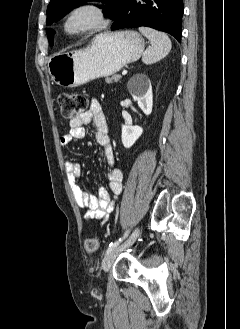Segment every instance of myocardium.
Here are the masks:
<instances>
[{"instance_id": "1", "label": "myocardium", "mask_w": 240, "mask_h": 329, "mask_svg": "<svg viewBox=\"0 0 240 329\" xmlns=\"http://www.w3.org/2000/svg\"><path fill=\"white\" fill-rule=\"evenodd\" d=\"M81 11H90L94 15L93 22L78 28H71L72 19ZM109 23V16L103 4L96 0H84L73 5L61 20V30L69 37L85 35L105 28Z\"/></svg>"}]
</instances>
